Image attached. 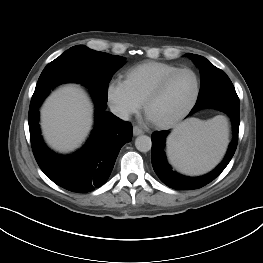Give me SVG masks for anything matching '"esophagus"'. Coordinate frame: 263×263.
<instances>
[{
    "label": "esophagus",
    "instance_id": "obj_1",
    "mask_svg": "<svg viewBox=\"0 0 263 263\" xmlns=\"http://www.w3.org/2000/svg\"><path fill=\"white\" fill-rule=\"evenodd\" d=\"M143 133H144L143 130L140 129L138 126H134L133 127V134H134V136H138V135H141Z\"/></svg>",
    "mask_w": 263,
    "mask_h": 263
}]
</instances>
